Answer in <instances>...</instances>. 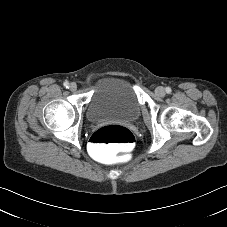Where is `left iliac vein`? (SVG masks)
<instances>
[{"instance_id": "obj_1", "label": "left iliac vein", "mask_w": 227, "mask_h": 227, "mask_svg": "<svg viewBox=\"0 0 227 227\" xmlns=\"http://www.w3.org/2000/svg\"><path fill=\"white\" fill-rule=\"evenodd\" d=\"M156 94L159 96H164L165 95V90L163 87H157L156 88Z\"/></svg>"}]
</instances>
